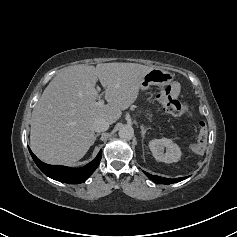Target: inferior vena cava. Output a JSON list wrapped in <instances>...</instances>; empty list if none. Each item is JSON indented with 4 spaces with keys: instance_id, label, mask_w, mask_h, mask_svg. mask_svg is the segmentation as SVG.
<instances>
[{
    "instance_id": "inferior-vena-cava-1",
    "label": "inferior vena cava",
    "mask_w": 237,
    "mask_h": 237,
    "mask_svg": "<svg viewBox=\"0 0 237 237\" xmlns=\"http://www.w3.org/2000/svg\"><path fill=\"white\" fill-rule=\"evenodd\" d=\"M110 123L104 118H97L93 122V129L96 132H104L108 130Z\"/></svg>"
}]
</instances>
